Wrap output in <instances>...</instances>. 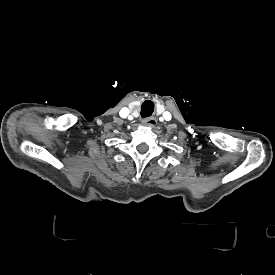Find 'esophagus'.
Segmentation results:
<instances>
[{
  "label": "esophagus",
  "mask_w": 275,
  "mask_h": 275,
  "mask_svg": "<svg viewBox=\"0 0 275 275\" xmlns=\"http://www.w3.org/2000/svg\"><path fill=\"white\" fill-rule=\"evenodd\" d=\"M142 124L144 126H155L157 124V120L155 117H148V118H143Z\"/></svg>",
  "instance_id": "esophagus-1"
}]
</instances>
